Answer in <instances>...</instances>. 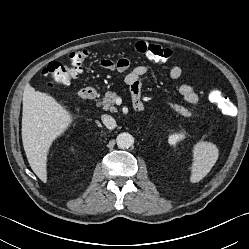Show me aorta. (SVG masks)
Returning a JSON list of instances; mask_svg holds the SVG:
<instances>
[{
	"label": "aorta",
	"instance_id": "762f6f07",
	"mask_svg": "<svg viewBox=\"0 0 249 249\" xmlns=\"http://www.w3.org/2000/svg\"><path fill=\"white\" fill-rule=\"evenodd\" d=\"M133 136L127 132H123L117 136L116 143L121 149L129 148L133 144Z\"/></svg>",
	"mask_w": 249,
	"mask_h": 249
}]
</instances>
